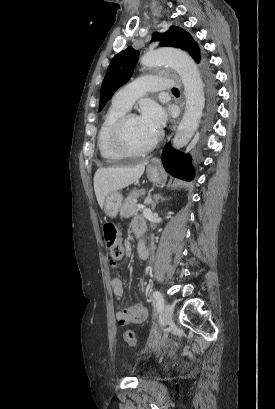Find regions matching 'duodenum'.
Returning <instances> with one entry per match:
<instances>
[{
  "mask_svg": "<svg viewBox=\"0 0 275 409\" xmlns=\"http://www.w3.org/2000/svg\"><path fill=\"white\" fill-rule=\"evenodd\" d=\"M133 229H134L135 235L139 238V237H141V236L144 234V232H145V225H144L143 222H139V223H137V224L134 225Z\"/></svg>",
  "mask_w": 275,
  "mask_h": 409,
  "instance_id": "duodenum-1",
  "label": "duodenum"
}]
</instances>
